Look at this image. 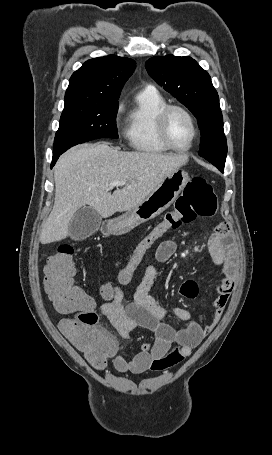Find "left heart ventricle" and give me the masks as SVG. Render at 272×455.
Instances as JSON below:
<instances>
[{
  "instance_id": "b2bd125f",
  "label": "left heart ventricle",
  "mask_w": 272,
  "mask_h": 455,
  "mask_svg": "<svg viewBox=\"0 0 272 455\" xmlns=\"http://www.w3.org/2000/svg\"><path fill=\"white\" fill-rule=\"evenodd\" d=\"M168 134L178 147L187 146L193 136L191 123L187 116L181 111L174 110L170 113L167 121Z\"/></svg>"
}]
</instances>
